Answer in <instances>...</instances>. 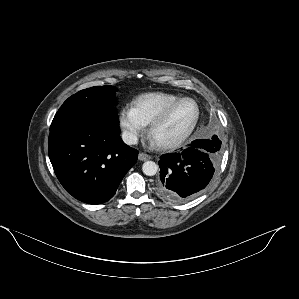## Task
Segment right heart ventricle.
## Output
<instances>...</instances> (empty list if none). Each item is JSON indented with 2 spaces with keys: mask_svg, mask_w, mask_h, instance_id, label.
<instances>
[{
  "mask_svg": "<svg viewBox=\"0 0 299 299\" xmlns=\"http://www.w3.org/2000/svg\"><path fill=\"white\" fill-rule=\"evenodd\" d=\"M179 98L175 94L165 92L145 93L134 99L132 108L144 124L148 125L151 124L167 105Z\"/></svg>",
  "mask_w": 299,
  "mask_h": 299,
  "instance_id": "obj_1",
  "label": "right heart ventricle"
}]
</instances>
